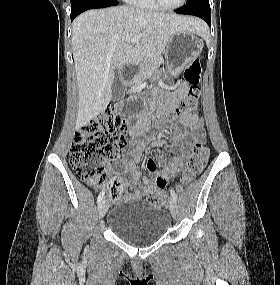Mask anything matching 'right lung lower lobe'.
I'll return each mask as SVG.
<instances>
[{"label": "right lung lower lobe", "mask_w": 280, "mask_h": 285, "mask_svg": "<svg viewBox=\"0 0 280 285\" xmlns=\"http://www.w3.org/2000/svg\"><path fill=\"white\" fill-rule=\"evenodd\" d=\"M117 1L105 2V1H86L75 8H71V21L80 13L94 8H104L117 5Z\"/></svg>", "instance_id": "right-lung-lower-lobe-1"}]
</instances>
